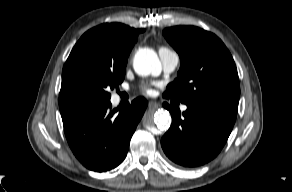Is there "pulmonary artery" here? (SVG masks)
I'll list each match as a JSON object with an SVG mask.
<instances>
[{
	"instance_id": "1",
	"label": "pulmonary artery",
	"mask_w": 292,
	"mask_h": 192,
	"mask_svg": "<svg viewBox=\"0 0 292 192\" xmlns=\"http://www.w3.org/2000/svg\"><path fill=\"white\" fill-rule=\"evenodd\" d=\"M159 56L165 72H172L175 70L179 62V57L176 52L167 48H163L159 50ZM186 109V105L181 106L182 111H186Z\"/></svg>"
}]
</instances>
